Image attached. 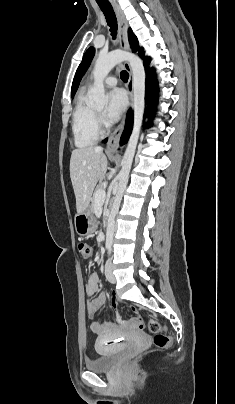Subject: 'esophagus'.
<instances>
[{"label": "esophagus", "mask_w": 235, "mask_h": 404, "mask_svg": "<svg viewBox=\"0 0 235 404\" xmlns=\"http://www.w3.org/2000/svg\"><path fill=\"white\" fill-rule=\"evenodd\" d=\"M113 8L115 10V13L118 18V25H119V44L120 47L127 51L129 50V43H128V36H127V20L125 18V15L121 8L119 7L118 4L114 3ZM124 68L127 70L129 73V79L126 85L128 96H129V107L131 106L132 103V93H133V75H132V70L127 61L124 62ZM125 126V117L122 119L121 123L117 126V128L113 131V133L110 135L107 148H106V153L107 154H113L120 142L121 135L123 133Z\"/></svg>", "instance_id": "1"}]
</instances>
